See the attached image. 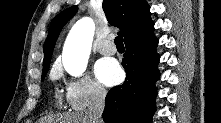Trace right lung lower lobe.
I'll return each mask as SVG.
<instances>
[{"instance_id":"98d812e1","label":"right lung lower lobe","mask_w":221,"mask_h":123,"mask_svg":"<svg viewBox=\"0 0 221 123\" xmlns=\"http://www.w3.org/2000/svg\"><path fill=\"white\" fill-rule=\"evenodd\" d=\"M154 31V30H153ZM153 31L126 42L122 65L126 79L106 96L102 117L106 123H151L155 111V82L159 78L156 52L158 39Z\"/></svg>"}]
</instances>
